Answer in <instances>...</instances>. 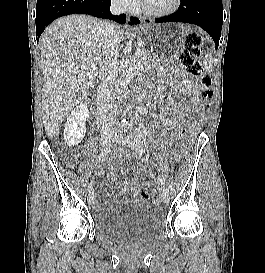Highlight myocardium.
Segmentation results:
<instances>
[{
  "mask_svg": "<svg viewBox=\"0 0 265 273\" xmlns=\"http://www.w3.org/2000/svg\"><path fill=\"white\" fill-rule=\"evenodd\" d=\"M181 3H182V0H174V3L170 8L158 11V10L149 9L142 2L139 6V12L147 17H154V18L167 17L175 13L180 8Z\"/></svg>",
  "mask_w": 265,
  "mask_h": 273,
  "instance_id": "f54148a6",
  "label": "myocardium"
}]
</instances>
